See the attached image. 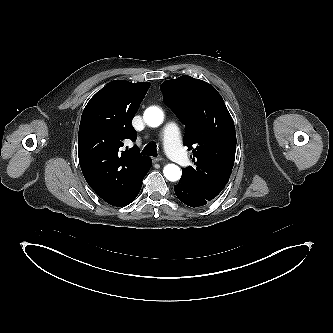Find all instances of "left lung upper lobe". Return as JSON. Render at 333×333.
I'll return each mask as SVG.
<instances>
[{
	"instance_id": "obj_1",
	"label": "left lung upper lobe",
	"mask_w": 333,
	"mask_h": 333,
	"mask_svg": "<svg viewBox=\"0 0 333 333\" xmlns=\"http://www.w3.org/2000/svg\"><path fill=\"white\" fill-rule=\"evenodd\" d=\"M161 91L186 125L185 145L193 153L194 165L182 168L181 179L213 200L229 181L236 152L235 126L223 98L190 76L164 81Z\"/></svg>"
}]
</instances>
